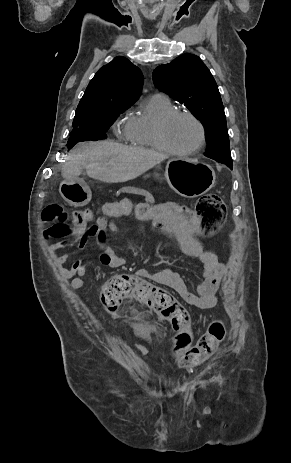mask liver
Segmentation results:
<instances>
[{
    "instance_id": "1",
    "label": "liver",
    "mask_w": 291,
    "mask_h": 463,
    "mask_svg": "<svg viewBox=\"0 0 291 463\" xmlns=\"http://www.w3.org/2000/svg\"><path fill=\"white\" fill-rule=\"evenodd\" d=\"M167 158L165 154L113 141L84 143L67 157L62 176L78 180L83 169L89 177L106 183L132 180Z\"/></svg>"
}]
</instances>
